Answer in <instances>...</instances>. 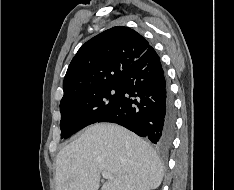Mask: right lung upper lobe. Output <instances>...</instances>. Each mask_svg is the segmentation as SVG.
Wrapping results in <instances>:
<instances>
[{"instance_id": "cb5924a9", "label": "right lung upper lobe", "mask_w": 234, "mask_h": 190, "mask_svg": "<svg viewBox=\"0 0 234 190\" xmlns=\"http://www.w3.org/2000/svg\"><path fill=\"white\" fill-rule=\"evenodd\" d=\"M150 47L142 35L128 27H113L93 37L78 50L68 67L61 102L118 84L126 69Z\"/></svg>"}]
</instances>
